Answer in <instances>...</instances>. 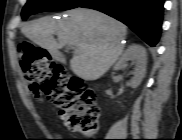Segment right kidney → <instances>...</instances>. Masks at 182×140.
<instances>
[{"label":"right kidney","mask_w":182,"mask_h":140,"mask_svg":"<svg viewBox=\"0 0 182 140\" xmlns=\"http://www.w3.org/2000/svg\"><path fill=\"white\" fill-rule=\"evenodd\" d=\"M128 61H132L135 64L133 77L129 84L132 88H137L142 82V79L146 73L147 54L145 48L138 44L131 45L120 57L119 61L114 67V70L124 68Z\"/></svg>","instance_id":"1"}]
</instances>
